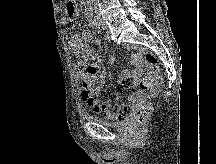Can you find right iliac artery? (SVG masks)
<instances>
[{
    "label": "right iliac artery",
    "mask_w": 216,
    "mask_h": 164,
    "mask_svg": "<svg viewBox=\"0 0 216 164\" xmlns=\"http://www.w3.org/2000/svg\"><path fill=\"white\" fill-rule=\"evenodd\" d=\"M92 25H93L94 28H96V29H100V28H101L100 22H99L98 20H96V19L92 21Z\"/></svg>",
    "instance_id": "1"
}]
</instances>
